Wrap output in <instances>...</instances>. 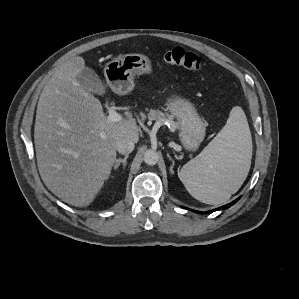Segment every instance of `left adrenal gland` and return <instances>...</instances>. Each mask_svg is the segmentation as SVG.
I'll return each instance as SVG.
<instances>
[{
    "label": "left adrenal gland",
    "instance_id": "left-adrenal-gland-1",
    "mask_svg": "<svg viewBox=\"0 0 299 299\" xmlns=\"http://www.w3.org/2000/svg\"><path fill=\"white\" fill-rule=\"evenodd\" d=\"M168 157L171 159V157L168 155ZM172 160V159H171ZM173 167H174V161L172 160V165L170 167V172L173 173Z\"/></svg>",
    "mask_w": 299,
    "mask_h": 299
}]
</instances>
